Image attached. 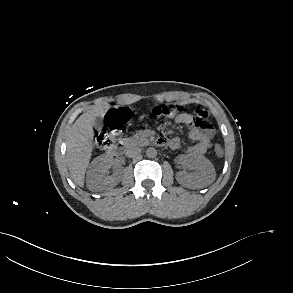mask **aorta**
I'll list each match as a JSON object with an SVG mask.
<instances>
[{"label": "aorta", "instance_id": "1", "mask_svg": "<svg viewBox=\"0 0 293 293\" xmlns=\"http://www.w3.org/2000/svg\"><path fill=\"white\" fill-rule=\"evenodd\" d=\"M146 156L148 158H155L157 156V150L153 147H149L146 150Z\"/></svg>", "mask_w": 293, "mask_h": 293}]
</instances>
